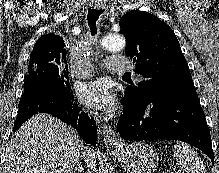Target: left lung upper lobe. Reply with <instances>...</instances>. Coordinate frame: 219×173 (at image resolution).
I'll list each match as a JSON object with an SVG mask.
<instances>
[{
  "label": "left lung upper lobe",
  "instance_id": "obj_1",
  "mask_svg": "<svg viewBox=\"0 0 219 173\" xmlns=\"http://www.w3.org/2000/svg\"><path fill=\"white\" fill-rule=\"evenodd\" d=\"M126 36L125 52L135 62V72L144 80L127 86L131 101L163 100L196 93L180 44L172 29L145 11L133 10L120 19Z\"/></svg>",
  "mask_w": 219,
  "mask_h": 173
}]
</instances>
